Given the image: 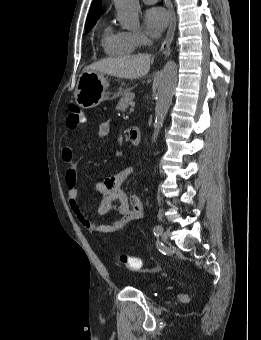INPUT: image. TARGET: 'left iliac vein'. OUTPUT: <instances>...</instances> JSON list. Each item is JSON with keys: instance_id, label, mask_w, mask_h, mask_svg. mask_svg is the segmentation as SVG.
I'll return each mask as SVG.
<instances>
[{"instance_id": "obj_1", "label": "left iliac vein", "mask_w": 261, "mask_h": 340, "mask_svg": "<svg viewBox=\"0 0 261 340\" xmlns=\"http://www.w3.org/2000/svg\"><path fill=\"white\" fill-rule=\"evenodd\" d=\"M170 236V230L166 229L165 231H163L161 238H162V242H166L168 237Z\"/></svg>"}]
</instances>
